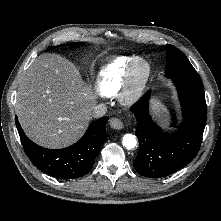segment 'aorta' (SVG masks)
Listing matches in <instances>:
<instances>
[{
    "label": "aorta",
    "mask_w": 221,
    "mask_h": 221,
    "mask_svg": "<svg viewBox=\"0 0 221 221\" xmlns=\"http://www.w3.org/2000/svg\"><path fill=\"white\" fill-rule=\"evenodd\" d=\"M122 143L126 149H133L137 145L136 136L132 134H125L123 136Z\"/></svg>",
    "instance_id": "aorta-1"
}]
</instances>
